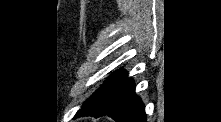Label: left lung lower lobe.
<instances>
[{"label":"left lung lower lobe","instance_id":"1","mask_svg":"<svg viewBox=\"0 0 221 122\" xmlns=\"http://www.w3.org/2000/svg\"><path fill=\"white\" fill-rule=\"evenodd\" d=\"M109 116L117 122H146L144 105L135 94V84L117 71L82 106L75 117Z\"/></svg>","mask_w":221,"mask_h":122}]
</instances>
